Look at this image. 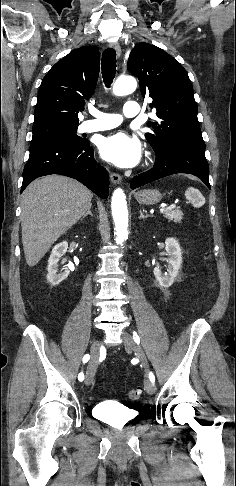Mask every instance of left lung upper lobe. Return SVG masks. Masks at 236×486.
Returning <instances> with one entry per match:
<instances>
[{"label": "left lung upper lobe", "mask_w": 236, "mask_h": 486, "mask_svg": "<svg viewBox=\"0 0 236 486\" xmlns=\"http://www.w3.org/2000/svg\"><path fill=\"white\" fill-rule=\"evenodd\" d=\"M128 70L140 82L143 97L153 99L158 122H148L153 132L145 133L155 152L174 143H186L205 148L199 121L197 103L186 70L162 49L145 42L132 49Z\"/></svg>", "instance_id": "obj_1"}]
</instances>
